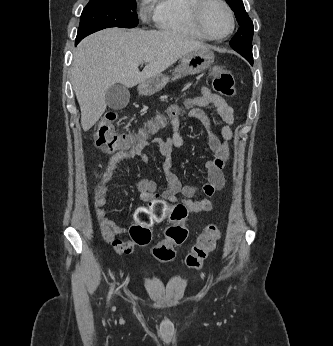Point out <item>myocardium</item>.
<instances>
[{
	"instance_id": "f54148a6",
	"label": "myocardium",
	"mask_w": 333,
	"mask_h": 346,
	"mask_svg": "<svg viewBox=\"0 0 333 346\" xmlns=\"http://www.w3.org/2000/svg\"><path fill=\"white\" fill-rule=\"evenodd\" d=\"M211 3H218L220 4L227 12L228 17L230 19V29L221 36H216L212 34L206 27L204 22V12L209 4ZM193 9V19L195 21L196 26L198 29L208 38L215 39V40H223L228 38L235 29V17L234 13L231 9V7L228 5V3L225 0H195L192 6Z\"/></svg>"
}]
</instances>
